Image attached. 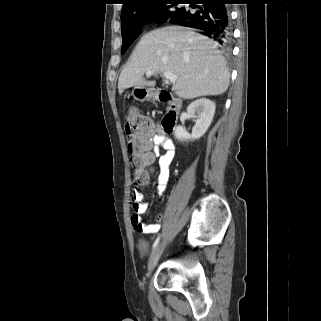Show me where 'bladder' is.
<instances>
[{
  "instance_id": "1",
  "label": "bladder",
  "mask_w": 321,
  "mask_h": 321,
  "mask_svg": "<svg viewBox=\"0 0 321 321\" xmlns=\"http://www.w3.org/2000/svg\"><path fill=\"white\" fill-rule=\"evenodd\" d=\"M139 248L142 252V254L146 255L149 249V242L145 239L139 240Z\"/></svg>"
}]
</instances>
